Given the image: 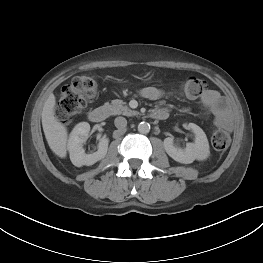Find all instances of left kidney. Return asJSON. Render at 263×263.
Returning <instances> with one entry per match:
<instances>
[{"mask_svg": "<svg viewBox=\"0 0 263 263\" xmlns=\"http://www.w3.org/2000/svg\"><path fill=\"white\" fill-rule=\"evenodd\" d=\"M188 128L195 134V140L194 143H187L184 149L174 144L173 137L164 139V148L167 154L183 164L192 163L194 160H204L209 155V143L204 131L194 123H189Z\"/></svg>", "mask_w": 263, "mask_h": 263, "instance_id": "5707ae66", "label": "left kidney"}]
</instances>
